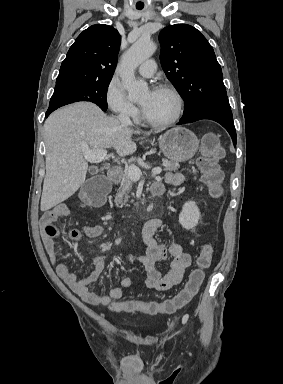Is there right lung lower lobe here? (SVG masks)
<instances>
[{
    "label": "right lung lower lobe",
    "instance_id": "right-lung-lower-lobe-1",
    "mask_svg": "<svg viewBox=\"0 0 283 384\" xmlns=\"http://www.w3.org/2000/svg\"><path fill=\"white\" fill-rule=\"evenodd\" d=\"M55 109H49L47 110L45 116L48 117ZM103 111H106V110H103Z\"/></svg>",
    "mask_w": 283,
    "mask_h": 384
}]
</instances>
